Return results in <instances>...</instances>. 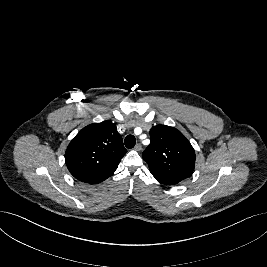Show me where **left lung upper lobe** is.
<instances>
[{
    "label": "left lung upper lobe",
    "mask_w": 267,
    "mask_h": 267,
    "mask_svg": "<svg viewBox=\"0 0 267 267\" xmlns=\"http://www.w3.org/2000/svg\"><path fill=\"white\" fill-rule=\"evenodd\" d=\"M151 143L142 157L153 176L182 181L195 167V151L176 128L156 125L150 130Z\"/></svg>",
    "instance_id": "1"
}]
</instances>
